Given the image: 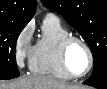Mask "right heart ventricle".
<instances>
[{"label":"right heart ventricle","instance_id":"e07e8e85","mask_svg":"<svg viewBox=\"0 0 107 89\" xmlns=\"http://www.w3.org/2000/svg\"><path fill=\"white\" fill-rule=\"evenodd\" d=\"M70 32L62 21L53 14H47L42 23V32L34 45L30 58V69L35 74L48 75L67 80L59 57L60 42Z\"/></svg>","mask_w":107,"mask_h":89}]
</instances>
